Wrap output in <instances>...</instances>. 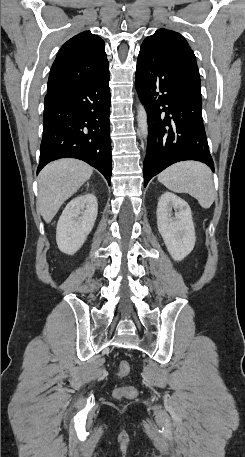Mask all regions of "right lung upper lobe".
<instances>
[{
  "instance_id": "obj_1",
  "label": "right lung upper lobe",
  "mask_w": 245,
  "mask_h": 457,
  "mask_svg": "<svg viewBox=\"0 0 245 457\" xmlns=\"http://www.w3.org/2000/svg\"><path fill=\"white\" fill-rule=\"evenodd\" d=\"M104 41L84 31L68 40L60 49L52 65L48 92L73 81L108 73L109 63Z\"/></svg>"
}]
</instances>
